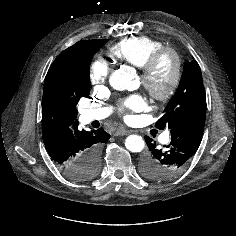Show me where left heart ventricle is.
Segmentation results:
<instances>
[{"instance_id": "left-heart-ventricle-1", "label": "left heart ventricle", "mask_w": 236, "mask_h": 236, "mask_svg": "<svg viewBox=\"0 0 236 236\" xmlns=\"http://www.w3.org/2000/svg\"><path fill=\"white\" fill-rule=\"evenodd\" d=\"M173 72V60L170 56H165L155 70L152 80L160 88L168 86Z\"/></svg>"}]
</instances>
